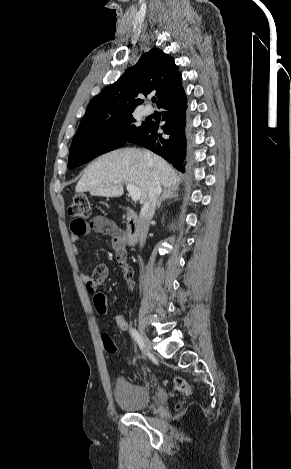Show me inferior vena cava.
<instances>
[{"label": "inferior vena cava", "instance_id": "obj_1", "mask_svg": "<svg viewBox=\"0 0 291 469\" xmlns=\"http://www.w3.org/2000/svg\"><path fill=\"white\" fill-rule=\"evenodd\" d=\"M144 157L146 161L152 164V156L149 152L144 151ZM160 193V182L159 179L155 176L149 188L148 198L144 202L139 216V243L141 247H143L145 244L149 229V221L154 215Z\"/></svg>", "mask_w": 291, "mask_h": 469}]
</instances>
